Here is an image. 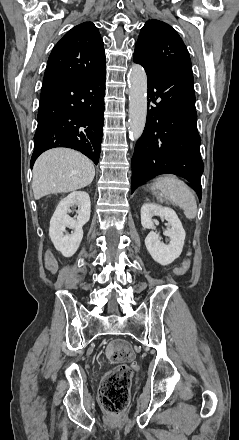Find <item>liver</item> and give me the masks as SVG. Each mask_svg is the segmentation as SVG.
Masks as SVG:
<instances>
[{
	"instance_id": "6515ba94",
	"label": "liver",
	"mask_w": 239,
	"mask_h": 440,
	"mask_svg": "<svg viewBox=\"0 0 239 440\" xmlns=\"http://www.w3.org/2000/svg\"><path fill=\"white\" fill-rule=\"evenodd\" d=\"M95 168L86 156L69 150L54 148L39 156L33 168L32 190L35 200L56 192H75L93 182Z\"/></svg>"
}]
</instances>
